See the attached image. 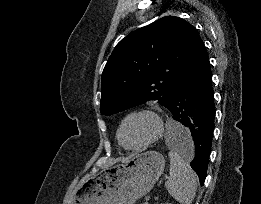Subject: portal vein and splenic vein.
<instances>
[{"label":"portal vein and splenic vein","instance_id":"1","mask_svg":"<svg viewBox=\"0 0 261 204\" xmlns=\"http://www.w3.org/2000/svg\"><path fill=\"white\" fill-rule=\"evenodd\" d=\"M149 198H150V196H147L142 204H149Z\"/></svg>","mask_w":261,"mask_h":204}]
</instances>
